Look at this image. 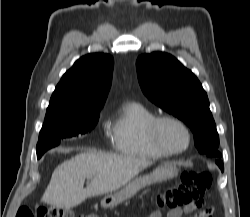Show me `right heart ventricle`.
<instances>
[{
    "mask_svg": "<svg viewBox=\"0 0 250 217\" xmlns=\"http://www.w3.org/2000/svg\"><path fill=\"white\" fill-rule=\"evenodd\" d=\"M155 117V113L142 103H124L109 125L114 150L142 159H161L169 156L150 140L148 125Z\"/></svg>",
    "mask_w": 250,
    "mask_h": 217,
    "instance_id": "right-heart-ventricle-1",
    "label": "right heart ventricle"
}]
</instances>
